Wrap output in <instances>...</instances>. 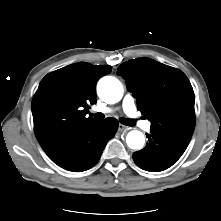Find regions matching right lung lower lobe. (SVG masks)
<instances>
[{
    "mask_svg": "<svg viewBox=\"0 0 221 221\" xmlns=\"http://www.w3.org/2000/svg\"><path fill=\"white\" fill-rule=\"evenodd\" d=\"M117 129L118 121L115 118L92 122L70 132L46 154L68 171L88 170L98 162L105 145Z\"/></svg>",
    "mask_w": 221,
    "mask_h": 221,
    "instance_id": "right-lung-lower-lobe-1",
    "label": "right lung lower lobe"
}]
</instances>
